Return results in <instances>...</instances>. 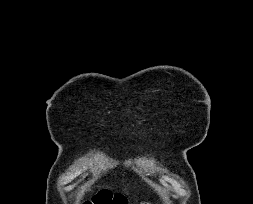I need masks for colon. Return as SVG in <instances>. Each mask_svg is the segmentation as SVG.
<instances>
[{
  "instance_id": "obj_1",
  "label": "colon",
  "mask_w": 253,
  "mask_h": 204,
  "mask_svg": "<svg viewBox=\"0 0 253 204\" xmlns=\"http://www.w3.org/2000/svg\"><path fill=\"white\" fill-rule=\"evenodd\" d=\"M83 204H126V202L112 195L109 191L102 190Z\"/></svg>"
}]
</instances>
